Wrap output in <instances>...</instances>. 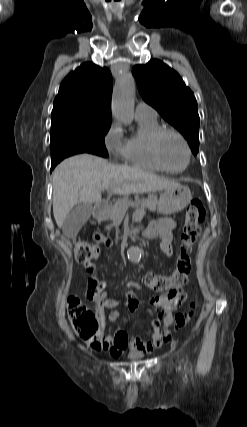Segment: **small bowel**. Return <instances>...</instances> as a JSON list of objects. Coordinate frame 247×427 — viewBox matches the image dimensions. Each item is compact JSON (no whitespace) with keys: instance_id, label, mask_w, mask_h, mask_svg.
Masks as SVG:
<instances>
[{"instance_id":"small-bowel-1","label":"small bowel","mask_w":247,"mask_h":427,"mask_svg":"<svg viewBox=\"0 0 247 427\" xmlns=\"http://www.w3.org/2000/svg\"><path fill=\"white\" fill-rule=\"evenodd\" d=\"M176 222L170 218H158L150 223L143 232L149 240H160L161 251L170 256L172 254L173 231ZM94 240L107 244L108 248H113L112 240L105 238L103 232L99 231L94 235ZM86 272L90 275L86 284V298L95 306V312L101 321L106 320V310L111 309L107 319L115 322L120 313L116 310L119 302L110 298L106 291V284L97 277L96 266L89 262L85 264ZM127 286L142 290V287L132 281L127 282ZM186 299V294L181 288L174 289L160 297L146 300L139 299L132 292L125 295V305L132 311H138L144 304L152 314L151 330L148 332V339L140 337H129L127 332L121 327H117L112 333L106 336L104 349H108L111 355L119 356L124 351L150 352L160 348L171 339L170 325L173 322L172 312L180 308Z\"/></svg>"}]
</instances>
